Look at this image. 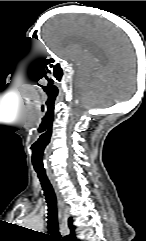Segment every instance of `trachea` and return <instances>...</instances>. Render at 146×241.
Returning a JSON list of instances; mask_svg holds the SVG:
<instances>
[{"mask_svg": "<svg viewBox=\"0 0 146 241\" xmlns=\"http://www.w3.org/2000/svg\"><path fill=\"white\" fill-rule=\"evenodd\" d=\"M35 171L41 182V185L45 194L47 206H48L47 223H48V230L50 233V239L51 241H63L59 233L57 198H56L55 191L46 175V171L38 168H35Z\"/></svg>", "mask_w": 146, "mask_h": 241, "instance_id": "trachea-1", "label": "trachea"}]
</instances>
